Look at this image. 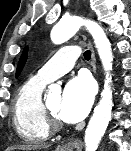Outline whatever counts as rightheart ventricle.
Instances as JSON below:
<instances>
[{
    "label": "right heart ventricle",
    "instance_id": "right-heart-ventricle-1",
    "mask_svg": "<svg viewBox=\"0 0 131 151\" xmlns=\"http://www.w3.org/2000/svg\"><path fill=\"white\" fill-rule=\"evenodd\" d=\"M47 82L34 76L18 90L13 107V124L17 134L27 142H42L51 129L46 119L42 93Z\"/></svg>",
    "mask_w": 131,
    "mask_h": 151
}]
</instances>
